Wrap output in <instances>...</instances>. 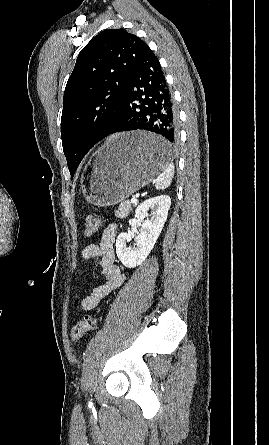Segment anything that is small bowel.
Returning <instances> with one entry per match:
<instances>
[{
	"label": "small bowel",
	"mask_w": 269,
	"mask_h": 445,
	"mask_svg": "<svg viewBox=\"0 0 269 445\" xmlns=\"http://www.w3.org/2000/svg\"><path fill=\"white\" fill-rule=\"evenodd\" d=\"M117 226L109 224L103 231L99 244H89L82 251L85 260H94L105 282L95 287L90 295L80 300V307L84 311H91L98 307L100 302L119 288L125 276L115 264V241Z\"/></svg>",
	"instance_id": "small-bowel-1"
}]
</instances>
